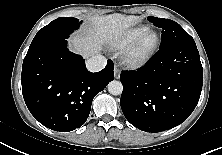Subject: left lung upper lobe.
I'll list each match as a JSON object with an SVG mask.
<instances>
[{
	"label": "left lung upper lobe",
	"instance_id": "obj_1",
	"mask_svg": "<svg viewBox=\"0 0 222 155\" xmlns=\"http://www.w3.org/2000/svg\"><path fill=\"white\" fill-rule=\"evenodd\" d=\"M148 20L162 29L160 48L177 44H195L193 38L178 23L152 16L148 17Z\"/></svg>",
	"mask_w": 222,
	"mask_h": 155
}]
</instances>
